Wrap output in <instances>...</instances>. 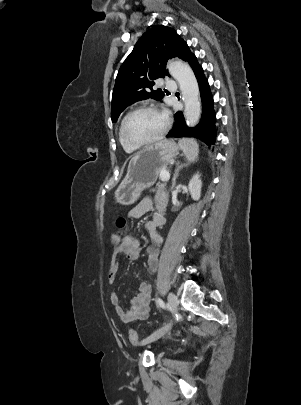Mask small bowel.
Instances as JSON below:
<instances>
[{"label":"small bowel","instance_id":"c3829d8e","mask_svg":"<svg viewBox=\"0 0 301 405\" xmlns=\"http://www.w3.org/2000/svg\"><path fill=\"white\" fill-rule=\"evenodd\" d=\"M146 213H151V219L146 223V229L150 234L153 246L147 248L148 269L155 272L159 263V246L163 239L157 233V228L164 224V209L162 206L155 208L149 198L143 199L139 204L132 208L128 216L131 219H138ZM120 236V235H119ZM121 237V236H120ZM120 242L119 247H113L110 266L107 273V280L110 286H113L116 274L120 264L121 256L129 260H136L139 257L140 242L132 235H125ZM152 288L148 283L142 282L137 287L136 295L130 300L128 308L121 307L119 297L115 291L110 293V303L115 307L118 318L124 323H133L138 320L146 319L150 314Z\"/></svg>","mask_w":301,"mask_h":405}]
</instances>
